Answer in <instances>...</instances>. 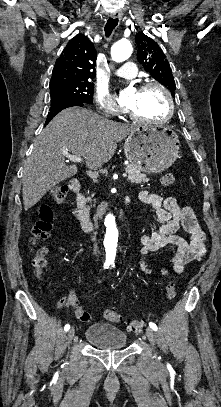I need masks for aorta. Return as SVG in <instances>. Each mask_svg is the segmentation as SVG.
<instances>
[{"label": "aorta", "instance_id": "1", "mask_svg": "<svg viewBox=\"0 0 221 407\" xmlns=\"http://www.w3.org/2000/svg\"><path fill=\"white\" fill-rule=\"evenodd\" d=\"M132 54V45L129 41L122 40L116 42L111 48V57L115 62H123ZM129 89L121 92L120 96H125ZM106 234L104 238V246L106 250V260L112 262L116 256V248L118 243V230L116 227L115 217L109 213L105 217Z\"/></svg>", "mask_w": 221, "mask_h": 407}]
</instances>
